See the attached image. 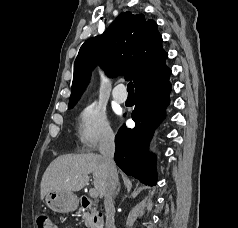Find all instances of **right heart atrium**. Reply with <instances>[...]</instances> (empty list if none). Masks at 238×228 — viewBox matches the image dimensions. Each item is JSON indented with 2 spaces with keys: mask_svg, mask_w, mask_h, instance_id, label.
Here are the masks:
<instances>
[{
  "mask_svg": "<svg viewBox=\"0 0 238 228\" xmlns=\"http://www.w3.org/2000/svg\"><path fill=\"white\" fill-rule=\"evenodd\" d=\"M78 141L85 151H93L101 145L114 141V133L107 115L98 103L85 105L77 119Z\"/></svg>",
  "mask_w": 238,
  "mask_h": 228,
  "instance_id": "d8ad5b80",
  "label": "right heart atrium"
}]
</instances>
